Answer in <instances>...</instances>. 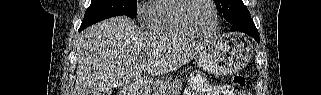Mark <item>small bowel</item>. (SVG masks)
Segmentation results:
<instances>
[{
  "instance_id": "obj_1",
  "label": "small bowel",
  "mask_w": 321,
  "mask_h": 95,
  "mask_svg": "<svg viewBox=\"0 0 321 95\" xmlns=\"http://www.w3.org/2000/svg\"><path fill=\"white\" fill-rule=\"evenodd\" d=\"M204 95H236L234 89L228 85H207ZM187 95H197V93H188Z\"/></svg>"
}]
</instances>
